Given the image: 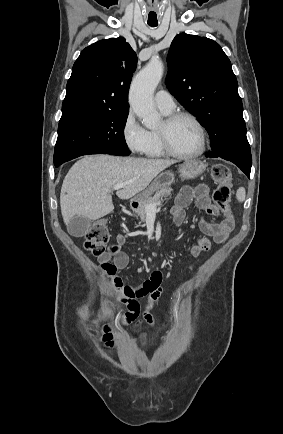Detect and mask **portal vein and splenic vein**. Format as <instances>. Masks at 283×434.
I'll return each mask as SVG.
<instances>
[{
    "mask_svg": "<svg viewBox=\"0 0 283 434\" xmlns=\"http://www.w3.org/2000/svg\"><path fill=\"white\" fill-rule=\"evenodd\" d=\"M125 185H126V183L115 184L113 186V189L114 190H119V189L123 188ZM159 205H160V201H158L155 204L147 205L146 206L147 213H154V212H156V207L159 206Z\"/></svg>",
    "mask_w": 283,
    "mask_h": 434,
    "instance_id": "1",
    "label": "portal vein and splenic vein"
}]
</instances>
